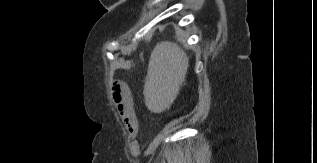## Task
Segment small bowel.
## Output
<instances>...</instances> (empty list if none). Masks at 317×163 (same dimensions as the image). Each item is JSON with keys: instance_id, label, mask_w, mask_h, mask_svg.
<instances>
[{"instance_id": "1", "label": "small bowel", "mask_w": 317, "mask_h": 163, "mask_svg": "<svg viewBox=\"0 0 317 163\" xmlns=\"http://www.w3.org/2000/svg\"><path fill=\"white\" fill-rule=\"evenodd\" d=\"M129 92V99L127 102L122 103L121 101H115L118 113L126 126L129 128V130L132 132L137 127V119L133 107V101L131 98L130 91Z\"/></svg>"}]
</instances>
